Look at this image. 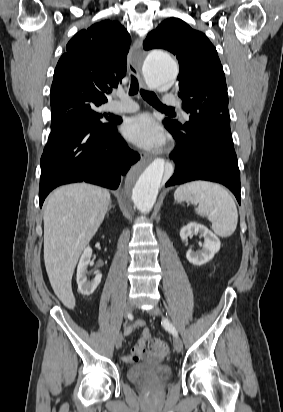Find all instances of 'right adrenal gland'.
I'll return each instance as SVG.
<instances>
[{"instance_id":"1","label":"right adrenal gland","mask_w":283,"mask_h":412,"mask_svg":"<svg viewBox=\"0 0 283 412\" xmlns=\"http://www.w3.org/2000/svg\"><path fill=\"white\" fill-rule=\"evenodd\" d=\"M115 207V205H113L112 203H111V201H110V205H109V207H108V211H110V209H112V208H114Z\"/></svg>"}]
</instances>
